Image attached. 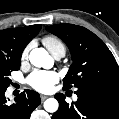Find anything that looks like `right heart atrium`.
Wrapping results in <instances>:
<instances>
[{
    "label": "right heart atrium",
    "mask_w": 119,
    "mask_h": 119,
    "mask_svg": "<svg viewBox=\"0 0 119 119\" xmlns=\"http://www.w3.org/2000/svg\"><path fill=\"white\" fill-rule=\"evenodd\" d=\"M30 46H27L21 53V60L25 61L28 57Z\"/></svg>",
    "instance_id": "obj_1"
}]
</instances>
